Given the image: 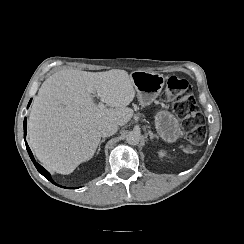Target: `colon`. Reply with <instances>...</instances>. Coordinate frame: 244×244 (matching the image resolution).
Returning a JSON list of instances; mask_svg holds the SVG:
<instances>
[{
  "mask_svg": "<svg viewBox=\"0 0 244 244\" xmlns=\"http://www.w3.org/2000/svg\"><path fill=\"white\" fill-rule=\"evenodd\" d=\"M190 83L177 76L167 79L161 99L172 102L178 116L185 118V127L189 131V139L193 144H201L206 138L204 117L193 95Z\"/></svg>",
  "mask_w": 244,
  "mask_h": 244,
  "instance_id": "1",
  "label": "colon"
}]
</instances>
